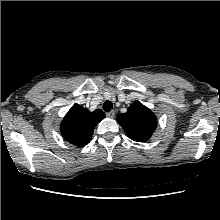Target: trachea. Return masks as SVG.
<instances>
[{
  "instance_id": "1",
  "label": "trachea",
  "mask_w": 220,
  "mask_h": 220,
  "mask_svg": "<svg viewBox=\"0 0 220 220\" xmlns=\"http://www.w3.org/2000/svg\"><path fill=\"white\" fill-rule=\"evenodd\" d=\"M113 108V104L111 101H106L103 104V110L109 112Z\"/></svg>"
}]
</instances>
